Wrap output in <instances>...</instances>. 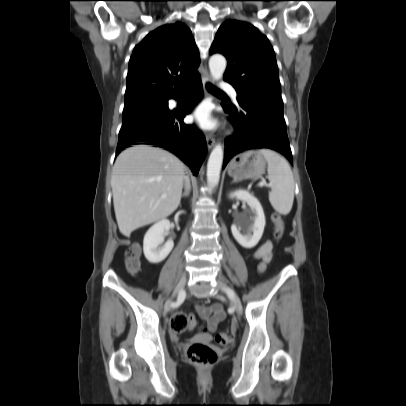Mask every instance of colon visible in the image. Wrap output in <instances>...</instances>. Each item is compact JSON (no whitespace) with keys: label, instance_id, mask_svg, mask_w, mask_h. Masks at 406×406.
Returning <instances> with one entry per match:
<instances>
[{"label":"colon","instance_id":"1","mask_svg":"<svg viewBox=\"0 0 406 406\" xmlns=\"http://www.w3.org/2000/svg\"><path fill=\"white\" fill-rule=\"evenodd\" d=\"M272 221L275 225V237L280 239L283 235L284 225L279 213L272 215ZM141 249L138 245H131L126 251V267L130 273H136L140 270ZM194 317L186 312H176L170 319V328L175 333L184 332L194 327ZM216 341L221 345H227L232 341V336L222 332L217 334ZM187 358L190 362L198 366H211L217 359L216 351L206 343L194 342L187 348Z\"/></svg>","mask_w":406,"mask_h":406}]
</instances>
